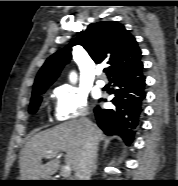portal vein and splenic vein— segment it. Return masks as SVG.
<instances>
[{
  "instance_id": "18ae733b",
  "label": "portal vein and splenic vein",
  "mask_w": 178,
  "mask_h": 186,
  "mask_svg": "<svg viewBox=\"0 0 178 186\" xmlns=\"http://www.w3.org/2000/svg\"><path fill=\"white\" fill-rule=\"evenodd\" d=\"M56 156H58V152H52V151H50V152H48L46 155H45V158H52V157H56ZM71 167H70V165H65L64 167H63V177L64 178H68V177H70V175H71Z\"/></svg>"
}]
</instances>
